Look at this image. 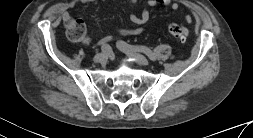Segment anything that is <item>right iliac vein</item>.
I'll use <instances>...</instances> for the list:
<instances>
[{"mask_svg": "<svg viewBox=\"0 0 253 138\" xmlns=\"http://www.w3.org/2000/svg\"><path fill=\"white\" fill-rule=\"evenodd\" d=\"M107 61V55L105 53H99L95 55L94 62L104 64Z\"/></svg>", "mask_w": 253, "mask_h": 138, "instance_id": "right-iliac-vein-1", "label": "right iliac vein"}]
</instances>
